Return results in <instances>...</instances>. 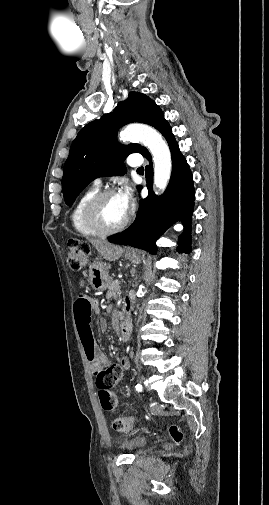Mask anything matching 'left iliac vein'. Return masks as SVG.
I'll return each instance as SVG.
<instances>
[{"label": "left iliac vein", "mask_w": 269, "mask_h": 505, "mask_svg": "<svg viewBox=\"0 0 269 505\" xmlns=\"http://www.w3.org/2000/svg\"><path fill=\"white\" fill-rule=\"evenodd\" d=\"M150 408L154 414H159L161 412V409L155 403L152 404Z\"/></svg>", "instance_id": "obj_1"}]
</instances>
